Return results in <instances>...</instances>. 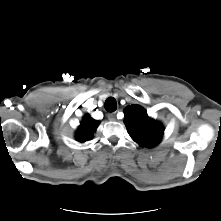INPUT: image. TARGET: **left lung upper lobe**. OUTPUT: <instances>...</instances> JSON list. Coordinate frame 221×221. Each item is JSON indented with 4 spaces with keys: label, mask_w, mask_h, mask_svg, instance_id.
<instances>
[{
    "label": "left lung upper lobe",
    "mask_w": 221,
    "mask_h": 221,
    "mask_svg": "<svg viewBox=\"0 0 221 221\" xmlns=\"http://www.w3.org/2000/svg\"><path fill=\"white\" fill-rule=\"evenodd\" d=\"M124 113L127 131L140 146L151 148L161 141L163 126L148 117L143 107L139 105L128 106Z\"/></svg>",
    "instance_id": "1"
}]
</instances>
